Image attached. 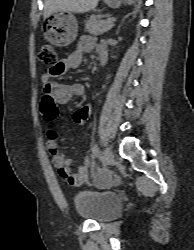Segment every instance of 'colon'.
<instances>
[{
  "instance_id": "5ec220e1",
  "label": "colon",
  "mask_w": 194,
  "mask_h": 250,
  "mask_svg": "<svg viewBox=\"0 0 194 250\" xmlns=\"http://www.w3.org/2000/svg\"><path fill=\"white\" fill-rule=\"evenodd\" d=\"M39 59L43 64L51 66V70H53L57 64V54L54 47L50 44L42 45ZM41 113L46 121L54 120L58 114L57 102L49 93H44L41 97Z\"/></svg>"
}]
</instances>
